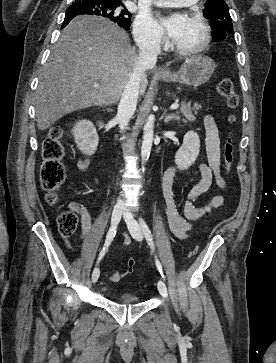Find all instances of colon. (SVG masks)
I'll return each instance as SVG.
<instances>
[{"instance_id":"obj_1","label":"colon","mask_w":276,"mask_h":363,"mask_svg":"<svg viewBox=\"0 0 276 363\" xmlns=\"http://www.w3.org/2000/svg\"><path fill=\"white\" fill-rule=\"evenodd\" d=\"M218 93L226 99L230 108H235L238 104V96L235 93L234 85L230 79H222L217 84ZM234 117H230V122L234 123ZM63 130L60 126L50 130L48 137L45 139L42 147L43 162L40 170V182L42 188L46 191V200L49 204H55L58 199V190L66 178L65 168L62 163L64 157V148L62 145ZM234 160V150L230 139L225 143L223 150V164L225 169L229 170ZM58 231L62 237L72 236L78 226V216L75 211L67 210L58 216ZM196 249L188 252V257H193ZM129 270L135 264L133 258L127 261Z\"/></svg>"}]
</instances>
